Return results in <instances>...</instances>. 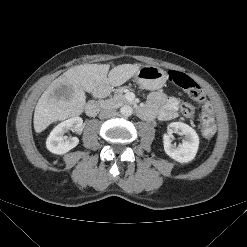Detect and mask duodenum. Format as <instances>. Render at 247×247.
<instances>
[{"mask_svg":"<svg viewBox=\"0 0 247 247\" xmlns=\"http://www.w3.org/2000/svg\"><path fill=\"white\" fill-rule=\"evenodd\" d=\"M111 90V85L110 83L106 82L102 84L100 87H98L96 91V95L98 96V99H94L89 101L86 106H85V112L88 116H95L97 115L102 109L103 105L100 102L99 98H103L108 95V93ZM135 110L137 114L141 117H144L146 114V111L142 107H135Z\"/></svg>","mask_w":247,"mask_h":247,"instance_id":"410a0bca","label":"duodenum"}]
</instances>
